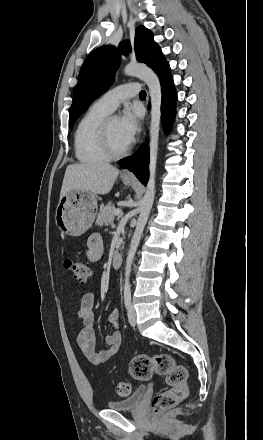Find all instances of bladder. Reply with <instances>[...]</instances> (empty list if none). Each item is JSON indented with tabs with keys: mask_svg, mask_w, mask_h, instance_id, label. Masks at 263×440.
<instances>
[{
	"mask_svg": "<svg viewBox=\"0 0 263 440\" xmlns=\"http://www.w3.org/2000/svg\"><path fill=\"white\" fill-rule=\"evenodd\" d=\"M147 391L146 386L137 387L132 394L125 398L111 400L107 403V408L115 411H132L141 403Z\"/></svg>",
	"mask_w": 263,
	"mask_h": 440,
	"instance_id": "31cf9c89",
	"label": "bladder"
}]
</instances>
